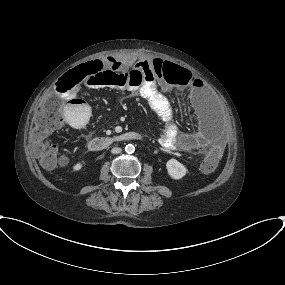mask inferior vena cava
I'll use <instances>...</instances> for the list:
<instances>
[{"label":"inferior vena cava","mask_w":285,"mask_h":285,"mask_svg":"<svg viewBox=\"0 0 285 285\" xmlns=\"http://www.w3.org/2000/svg\"><path fill=\"white\" fill-rule=\"evenodd\" d=\"M122 149L119 148V147H114L112 150H111V153L113 154H119L121 153Z\"/></svg>","instance_id":"1"}]
</instances>
